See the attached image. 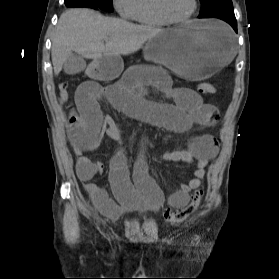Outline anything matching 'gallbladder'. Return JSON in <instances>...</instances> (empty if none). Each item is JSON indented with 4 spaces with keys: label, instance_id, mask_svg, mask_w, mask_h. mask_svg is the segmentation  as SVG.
Masks as SVG:
<instances>
[{
    "label": "gallbladder",
    "instance_id": "obj_1",
    "mask_svg": "<svg viewBox=\"0 0 279 279\" xmlns=\"http://www.w3.org/2000/svg\"><path fill=\"white\" fill-rule=\"evenodd\" d=\"M86 68V62L84 58L79 54H70L64 62L63 69L68 75H75Z\"/></svg>",
    "mask_w": 279,
    "mask_h": 279
}]
</instances>
